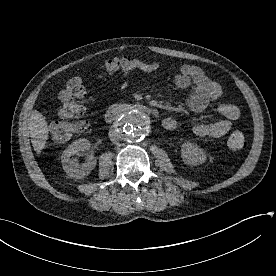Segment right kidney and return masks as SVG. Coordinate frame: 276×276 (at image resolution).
Returning a JSON list of instances; mask_svg holds the SVG:
<instances>
[{"mask_svg": "<svg viewBox=\"0 0 276 276\" xmlns=\"http://www.w3.org/2000/svg\"><path fill=\"white\" fill-rule=\"evenodd\" d=\"M89 148L90 142L86 139H80L74 141L63 151L61 163L64 171L69 177L82 179L94 169L97 163L94 157H89L82 165H80L78 160L73 157L74 155L89 150Z\"/></svg>", "mask_w": 276, "mask_h": 276, "instance_id": "1", "label": "right kidney"}]
</instances>
